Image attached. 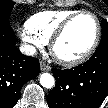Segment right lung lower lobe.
<instances>
[{
  "mask_svg": "<svg viewBox=\"0 0 108 108\" xmlns=\"http://www.w3.org/2000/svg\"><path fill=\"white\" fill-rule=\"evenodd\" d=\"M9 21H0V108H13L22 86L40 72L36 58L23 55Z\"/></svg>",
  "mask_w": 108,
  "mask_h": 108,
  "instance_id": "1",
  "label": "right lung lower lobe"
}]
</instances>
